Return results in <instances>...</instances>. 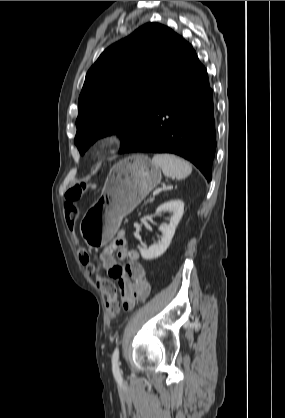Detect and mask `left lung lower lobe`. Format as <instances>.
<instances>
[{
    "label": "left lung lower lobe",
    "instance_id": "obj_1",
    "mask_svg": "<svg viewBox=\"0 0 285 418\" xmlns=\"http://www.w3.org/2000/svg\"><path fill=\"white\" fill-rule=\"evenodd\" d=\"M213 90L205 67L185 41L144 130L126 151L173 153L212 179L216 149Z\"/></svg>",
    "mask_w": 285,
    "mask_h": 418
}]
</instances>
